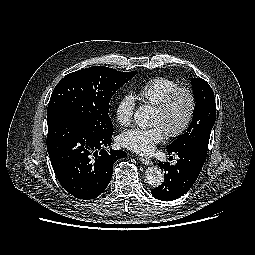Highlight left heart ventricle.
Instances as JSON below:
<instances>
[{
    "mask_svg": "<svg viewBox=\"0 0 255 255\" xmlns=\"http://www.w3.org/2000/svg\"><path fill=\"white\" fill-rule=\"evenodd\" d=\"M188 109V97L184 94H180L176 97L166 115H161L155 110L152 123L154 125H160L163 130L175 129L184 121L188 113Z\"/></svg>",
    "mask_w": 255,
    "mask_h": 255,
    "instance_id": "obj_1",
    "label": "left heart ventricle"
}]
</instances>
